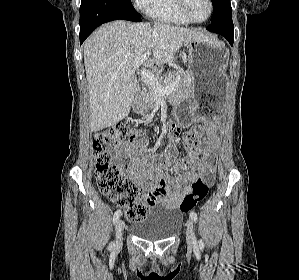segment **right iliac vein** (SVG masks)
<instances>
[{"instance_id":"obj_1","label":"right iliac vein","mask_w":299,"mask_h":280,"mask_svg":"<svg viewBox=\"0 0 299 280\" xmlns=\"http://www.w3.org/2000/svg\"><path fill=\"white\" fill-rule=\"evenodd\" d=\"M124 222L122 220H118L115 227V249L118 250L122 247V233L124 229Z\"/></svg>"}]
</instances>
